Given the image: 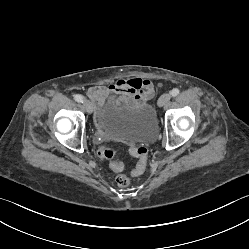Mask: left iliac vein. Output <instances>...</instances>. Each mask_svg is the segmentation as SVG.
I'll return each instance as SVG.
<instances>
[{"instance_id":"4c4485c4","label":"left iliac vein","mask_w":249,"mask_h":249,"mask_svg":"<svg viewBox=\"0 0 249 249\" xmlns=\"http://www.w3.org/2000/svg\"><path fill=\"white\" fill-rule=\"evenodd\" d=\"M171 95L169 93L163 94L159 100H158V105L159 106H164L170 101Z\"/></svg>"}]
</instances>
